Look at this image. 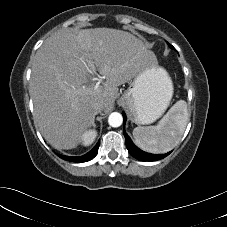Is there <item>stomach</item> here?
I'll use <instances>...</instances> for the list:
<instances>
[{"instance_id": "stomach-1", "label": "stomach", "mask_w": 227, "mask_h": 227, "mask_svg": "<svg viewBox=\"0 0 227 227\" xmlns=\"http://www.w3.org/2000/svg\"><path fill=\"white\" fill-rule=\"evenodd\" d=\"M173 95L168 72L158 64L144 67L133 79L120 99L132 122L147 125L156 121L167 109Z\"/></svg>"}]
</instances>
